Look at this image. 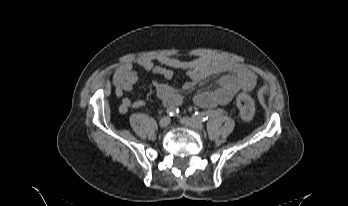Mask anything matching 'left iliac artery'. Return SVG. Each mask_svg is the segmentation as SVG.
I'll return each mask as SVG.
<instances>
[{
	"label": "left iliac artery",
	"instance_id": "44dca946",
	"mask_svg": "<svg viewBox=\"0 0 348 206\" xmlns=\"http://www.w3.org/2000/svg\"><path fill=\"white\" fill-rule=\"evenodd\" d=\"M224 113H225L224 109H219V112H216V111L195 112L192 118L198 121H206L208 120V118L213 117L214 115L216 118H219Z\"/></svg>",
	"mask_w": 348,
	"mask_h": 206
}]
</instances>
